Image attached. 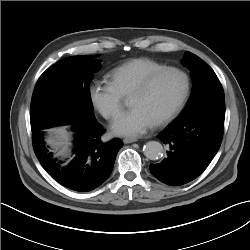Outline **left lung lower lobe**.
Returning <instances> with one entry per match:
<instances>
[{
    "label": "left lung lower lobe",
    "mask_w": 250,
    "mask_h": 250,
    "mask_svg": "<svg viewBox=\"0 0 250 250\" xmlns=\"http://www.w3.org/2000/svg\"><path fill=\"white\" fill-rule=\"evenodd\" d=\"M224 118V99L177 118L157 136L166 145L167 156L161 163L150 164L153 176L171 186L197 178L220 148Z\"/></svg>",
    "instance_id": "0a47b994"
}]
</instances>
